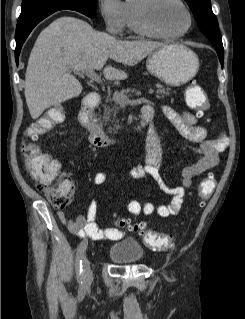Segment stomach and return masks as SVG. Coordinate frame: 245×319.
Here are the masks:
<instances>
[{"mask_svg":"<svg viewBox=\"0 0 245 319\" xmlns=\"http://www.w3.org/2000/svg\"><path fill=\"white\" fill-rule=\"evenodd\" d=\"M148 71L170 86L192 79L199 69L197 55L179 43H169L151 52L146 61Z\"/></svg>","mask_w":245,"mask_h":319,"instance_id":"obj_1","label":"stomach"}]
</instances>
